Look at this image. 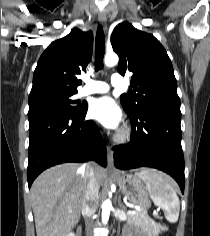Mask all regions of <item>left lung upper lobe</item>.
<instances>
[{"label":"left lung upper lobe","mask_w":210,"mask_h":236,"mask_svg":"<svg viewBox=\"0 0 210 236\" xmlns=\"http://www.w3.org/2000/svg\"><path fill=\"white\" fill-rule=\"evenodd\" d=\"M113 50L119 56L118 71L133 73L130 94L120 97L130 116L152 106L180 109L177 82L170 58L164 47L151 34L134 28L130 23L117 25L111 35Z\"/></svg>","instance_id":"5c2ea615"}]
</instances>
